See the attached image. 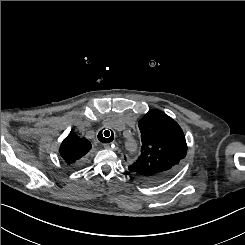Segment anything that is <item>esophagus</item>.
<instances>
[{
    "instance_id": "esophagus-1",
    "label": "esophagus",
    "mask_w": 245,
    "mask_h": 245,
    "mask_svg": "<svg viewBox=\"0 0 245 245\" xmlns=\"http://www.w3.org/2000/svg\"><path fill=\"white\" fill-rule=\"evenodd\" d=\"M112 145H113V144L105 143V144H103V147H104L105 149H111Z\"/></svg>"
}]
</instances>
